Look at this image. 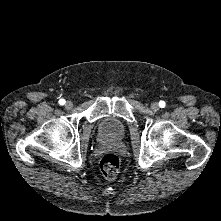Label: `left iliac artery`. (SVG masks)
Listing matches in <instances>:
<instances>
[{"label":"left iliac artery","instance_id":"left-iliac-artery-1","mask_svg":"<svg viewBox=\"0 0 221 221\" xmlns=\"http://www.w3.org/2000/svg\"><path fill=\"white\" fill-rule=\"evenodd\" d=\"M165 105H166V103H165L164 101H160V102H159V106H160L161 108H164Z\"/></svg>","mask_w":221,"mask_h":221}]
</instances>
